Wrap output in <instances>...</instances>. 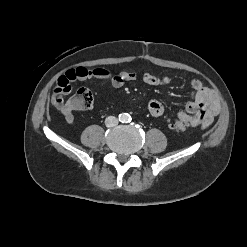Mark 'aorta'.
Wrapping results in <instances>:
<instances>
[{
    "label": "aorta",
    "instance_id": "1",
    "mask_svg": "<svg viewBox=\"0 0 247 247\" xmlns=\"http://www.w3.org/2000/svg\"><path fill=\"white\" fill-rule=\"evenodd\" d=\"M127 119H128L127 115H122V116H121V120H122V121H126Z\"/></svg>",
    "mask_w": 247,
    "mask_h": 247
}]
</instances>
